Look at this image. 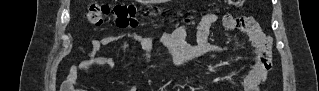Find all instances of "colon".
Returning <instances> with one entry per match:
<instances>
[{"label":"colon","mask_w":319,"mask_h":91,"mask_svg":"<svg viewBox=\"0 0 319 91\" xmlns=\"http://www.w3.org/2000/svg\"><path fill=\"white\" fill-rule=\"evenodd\" d=\"M227 3L231 6H241L243 0H229ZM147 11L157 13L160 9L153 7ZM137 15L138 9L132 4L96 3L88 7L84 16L86 22L94 27H100L112 22L119 28H134L139 25ZM182 23L185 25L190 24L191 18H183ZM262 60L267 68L271 66V52L268 45L262 52Z\"/></svg>","instance_id":"1"}]
</instances>
